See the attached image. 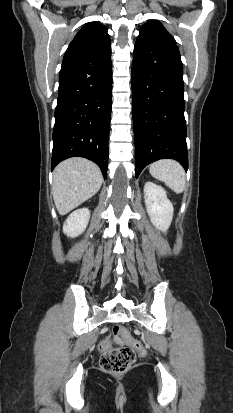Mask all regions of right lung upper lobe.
I'll list each match as a JSON object with an SVG mask.
<instances>
[{"label":"right lung upper lobe","mask_w":233,"mask_h":413,"mask_svg":"<svg viewBox=\"0 0 233 413\" xmlns=\"http://www.w3.org/2000/svg\"><path fill=\"white\" fill-rule=\"evenodd\" d=\"M110 45L107 28L97 22H89L76 34L63 60L88 55Z\"/></svg>","instance_id":"right-lung-upper-lobe-1"}]
</instances>
